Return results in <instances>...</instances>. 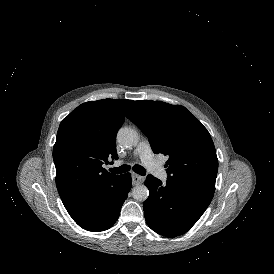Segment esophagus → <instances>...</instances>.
<instances>
[{
  "mask_svg": "<svg viewBox=\"0 0 274 274\" xmlns=\"http://www.w3.org/2000/svg\"><path fill=\"white\" fill-rule=\"evenodd\" d=\"M144 180L145 178L143 176H140L136 173H132V183L134 186L142 184Z\"/></svg>",
  "mask_w": 274,
  "mask_h": 274,
  "instance_id": "obj_1",
  "label": "esophagus"
}]
</instances>
